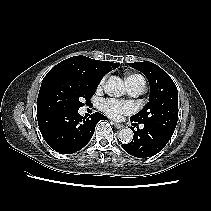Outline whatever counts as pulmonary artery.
<instances>
[{"instance_id":"1","label":"pulmonary artery","mask_w":211,"mask_h":211,"mask_svg":"<svg viewBox=\"0 0 211 211\" xmlns=\"http://www.w3.org/2000/svg\"><path fill=\"white\" fill-rule=\"evenodd\" d=\"M128 90L131 95L137 96L144 92L145 90V82L143 81H134L128 84ZM143 126H141L142 128Z\"/></svg>"}]
</instances>
